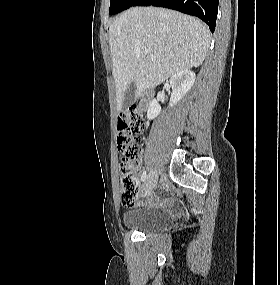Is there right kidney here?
<instances>
[{
	"instance_id": "right-kidney-1",
	"label": "right kidney",
	"mask_w": 280,
	"mask_h": 285,
	"mask_svg": "<svg viewBox=\"0 0 280 285\" xmlns=\"http://www.w3.org/2000/svg\"><path fill=\"white\" fill-rule=\"evenodd\" d=\"M195 73L189 69H184L174 74L170 78V84L172 87V93L170 98V107L179 102L184 95L191 89L195 82ZM161 112V107L156 99H153L149 105L147 111V117L149 120L156 118Z\"/></svg>"
}]
</instances>
